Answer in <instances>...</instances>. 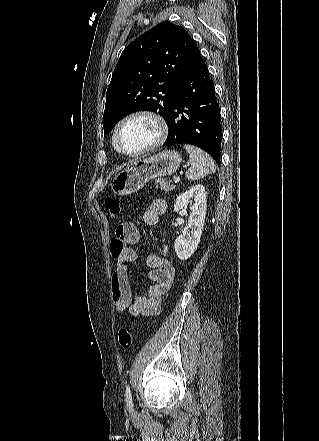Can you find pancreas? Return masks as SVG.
Instances as JSON below:
<instances>
[{
  "label": "pancreas",
  "instance_id": "obj_1",
  "mask_svg": "<svg viewBox=\"0 0 319 441\" xmlns=\"http://www.w3.org/2000/svg\"><path fill=\"white\" fill-rule=\"evenodd\" d=\"M156 188L160 187L165 192L172 191L175 189V186L171 184L170 181H167L166 179H156L155 180Z\"/></svg>",
  "mask_w": 319,
  "mask_h": 441
}]
</instances>
